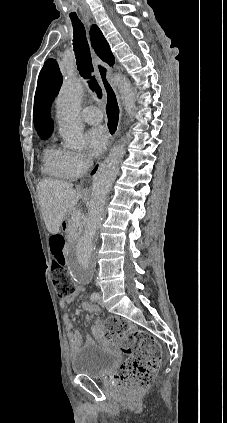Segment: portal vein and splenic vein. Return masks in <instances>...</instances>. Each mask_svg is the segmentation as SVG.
<instances>
[{
    "mask_svg": "<svg viewBox=\"0 0 227 423\" xmlns=\"http://www.w3.org/2000/svg\"><path fill=\"white\" fill-rule=\"evenodd\" d=\"M71 217H72L73 221H78V219H81V217H82L81 211H73Z\"/></svg>",
    "mask_w": 227,
    "mask_h": 423,
    "instance_id": "obj_1",
    "label": "portal vein and splenic vein"
}]
</instances>
